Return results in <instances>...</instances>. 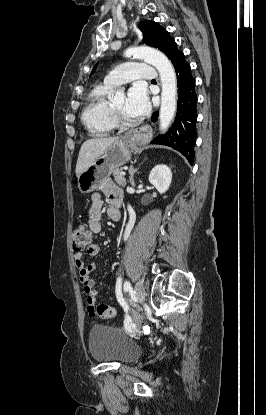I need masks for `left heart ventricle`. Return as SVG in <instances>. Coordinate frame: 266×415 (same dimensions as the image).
Here are the masks:
<instances>
[{"instance_id":"1","label":"left heart ventricle","mask_w":266,"mask_h":415,"mask_svg":"<svg viewBox=\"0 0 266 415\" xmlns=\"http://www.w3.org/2000/svg\"><path fill=\"white\" fill-rule=\"evenodd\" d=\"M126 96L124 94H121L118 96L115 101L113 102V105L117 110H119L126 118L132 119L131 116H129L125 111V105H126Z\"/></svg>"}]
</instances>
